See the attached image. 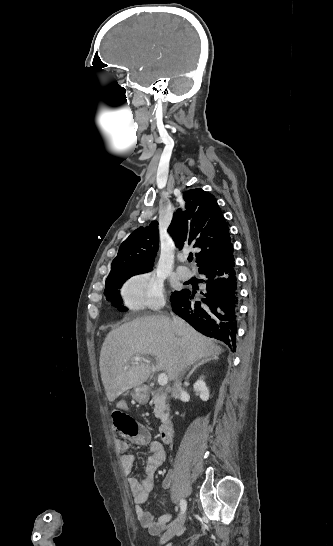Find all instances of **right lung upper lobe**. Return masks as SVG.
<instances>
[{"label":"right lung upper lobe","instance_id":"right-lung-upper-lobe-1","mask_svg":"<svg viewBox=\"0 0 333 546\" xmlns=\"http://www.w3.org/2000/svg\"><path fill=\"white\" fill-rule=\"evenodd\" d=\"M186 211L178 209L168 228L180 249L183 246L201 248L196 253L200 268L220 255L231 245L229 228L225 218L210 193L192 189L184 193ZM158 222L136 229L120 246L112 261L111 271L152 270L159 247Z\"/></svg>","mask_w":333,"mask_h":546}]
</instances>
